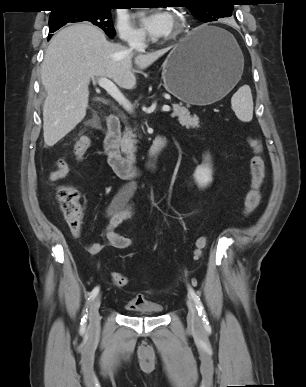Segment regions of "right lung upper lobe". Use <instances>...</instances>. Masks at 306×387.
I'll list each match as a JSON object with an SVG mask.
<instances>
[{"label": "right lung upper lobe", "mask_w": 306, "mask_h": 387, "mask_svg": "<svg viewBox=\"0 0 306 387\" xmlns=\"http://www.w3.org/2000/svg\"><path fill=\"white\" fill-rule=\"evenodd\" d=\"M57 3L56 9L52 12L59 11L62 8L65 7H71V6H102V7H108L112 3V0H55Z\"/></svg>", "instance_id": "right-lung-upper-lobe-1"}]
</instances>
